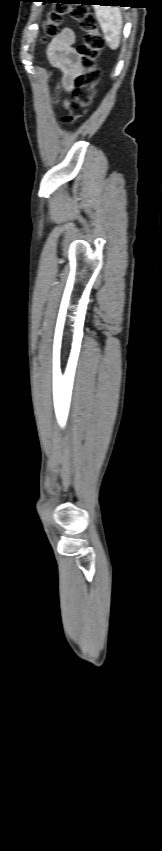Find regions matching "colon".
Listing matches in <instances>:
<instances>
[{"label": "colon", "instance_id": "obj_1", "mask_svg": "<svg viewBox=\"0 0 162 851\" xmlns=\"http://www.w3.org/2000/svg\"><path fill=\"white\" fill-rule=\"evenodd\" d=\"M66 15L77 22L83 34L82 41L77 47L82 71L75 80L72 96L67 105L68 114L62 119L65 125H72L85 115L87 107L93 100L94 88L100 77L97 59L105 46V40L92 13L83 6L64 4L56 5L47 13L43 24L46 37L57 34Z\"/></svg>", "mask_w": 162, "mask_h": 851}]
</instances>
